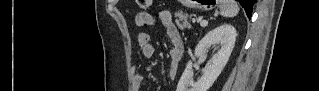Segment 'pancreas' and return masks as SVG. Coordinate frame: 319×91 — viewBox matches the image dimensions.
<instances>
[{"label": "pancreas", "instance_id": "1", "mask_svg": "<svg viewBox=\"0 0 319 91\" xmlns=\"http://www.w3.org/2000/svg\"><path fill=\"white\" fill-rule=\"evenodd\" d=\"M176 17V25L180 30H184L185 28H190L191 25L188 21V15L183 12H178L175 14Z\"/></svg>", "mask_w": 319, "mask_h": 91}]
</instances>
